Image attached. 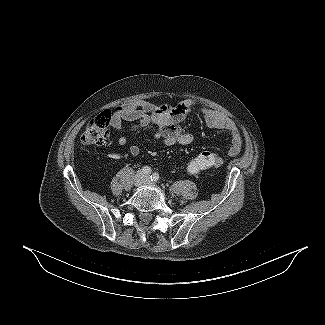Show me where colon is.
<instances>
[{
    "mask_svg": "<svg viewBox=\"0 0 325 325\" xmlns=\"http://www.w3.org/2000/svg\"><path fill=\"white\" fill-rule=\"evenodd\" d=\"M118 109L117 112H121ZM113 115L111 111H104L94 117L87 125L81 137L83 146H94L103 144L110 136L109 126L112 121ZM193 165L190 173H199L218 162V157L214 152L204 151L194 157L192 160Z\"/></svg>",
    "mask_w": 325,
    "mask_h": 325,
    "instance_id": "obj_1",
    "label": "colon"
}]
</instances>
